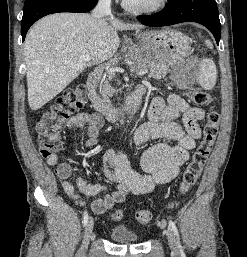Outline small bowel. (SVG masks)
Masks as SVG:
<instances>
[{
    "mask_svg": "<svg viewBox=\"0 0 247 257\" xmlns=\"http://www.w3.org/2000/svg\"><path fill=\"white\" fill-rule=\"evenodd\" d=\"M181 117L184 128L175 120ZM149 120L140 125L133 133L132 141L140 145L151 139L166 138L176 142L171 146L159 142L149 147L142 155L141 166L145 174L132 169L123 151L108 149L102 156L101 173L109 181L117 184L116 190L91 202V210L102 214L116 203L124 201L130 193L144 195L153 191L156 184L172 181L179 174L180 167L188 160L189 151L195 147V142L201 136L199 122L204 118V111L190 106L176 94L167 98L155 97L148 110ZM69 129L87 128V146L97 143L99 132L103 126L102 118L97 114L78 113L67 120ZM47 163L56 167V174L61 181L64 192L82 202L76 193L75 186L69 178L71 167L59 161L57 154L47 157ZM76 184L79 191L88 196L97 195L106 190L101 184H91L81 176H77Z\"/></svg>",
    "mask_w": 247,
    "mask_h": 257,
    "instance_id": "obj_1",
    "label": "small bowel"
}]
</instances>
